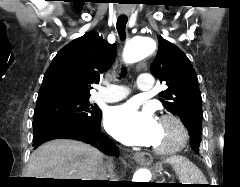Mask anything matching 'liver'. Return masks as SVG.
<instances>
[{"label": "liver", "mask_w": 240, "mask_h": 187, "mask_svg": "<svg viewBox=\"0 0 240 187\" xmlns=\"http://www.w3.org/2000/svg\"><path fill=\"white\" fill-rule=\"evenodd\" d=\"M103 154L80 141L57 139L41 145L29 159L27 178L96 180Z\"/></svg>", "instance_id": "liver-1"}]
</instances>
